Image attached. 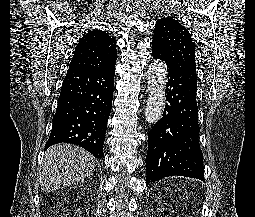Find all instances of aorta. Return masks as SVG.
Here are the masks:
<instances>
[{"label": "aorta", "instance_id": "1", "mask_svg": "<svg viewBox=\"0 0 255 217\" xmlns=\"http://www.w3.org/2000/svg\"><path fill=\"white\" fill-rule=\"evenodd\" d=\"M167 70L164 62L153 61L147 72L148 99L145 118L148 123H156L163 114L165 106V84Z\"/></svg>", "mask_w": 255, "mask_h": 217}]
</instances>
